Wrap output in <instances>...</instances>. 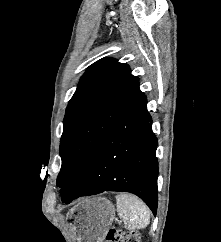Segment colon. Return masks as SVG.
Listing matches in <instances>:
<instances>
[{
	"label": "colon",
	"instance_id": "obj_1",
	"mask_svg": "<svg viewBox=\"0 0 221 242\" xmlns=\"http://www.w3.org/2000/svg\"><path fill=\"white\" fill-rule=\"evenodd\" d=\"M106 242H140V236L136 231L112 228L107 232Z\"/></svg>",
	"mask_w": 221,
	"mask_h": 242
}]
</instances>
